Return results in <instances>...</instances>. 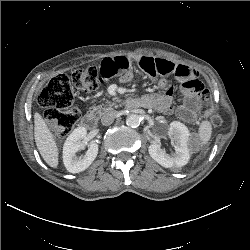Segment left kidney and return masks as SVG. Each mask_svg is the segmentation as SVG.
Listing matches in <instances>:
<instances>
[{
	"label": "left kidney",
	"mask_w": 250,
	"mask_h": 250,
	"mask_svg": "<svg viewBox=\"0 0 250 250\" xmlns=\"http://www.w3.org/2000/svg\"><path fill=\"white\" fill-rule=\"evenodd\" d=\"M169 136L172 139V145L175 152L167 154L157 144H151L148 148L150 156L161 166L165 168L182 167L190 159L191 134L188 128L179 121L170 123Z\"/></svg>",
	"instance_id": "5707ae66"
}]
</instances>
